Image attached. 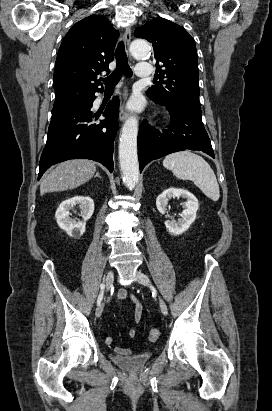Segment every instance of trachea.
I'll return each mask as SVG.
<instances>
[{
	"label": "trachea",
	"mask_w": 272,
	"mask_h": 411,
	"mask_svg": "<svg viewBox=\"0 0 272 411\" xmlns=\"http://www.w3.org/2000/svg\"><path fill=\"white\" fill-rule=\"evenodd\" d=\"M123 75L131 77L132 70L128 65L124 43L120 41L116 48V69L108 77L101 80L106 86H115Z\"/></svg>",
	"instance_id": "1"
}]
</instances>
